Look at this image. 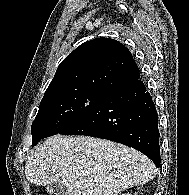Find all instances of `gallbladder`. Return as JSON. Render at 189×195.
I'll return each mask as SVG.
<instances>
[{
  "label": "gallbladder",
  "instance_id": "obj_1",
  "mask_svg": "<svg viewBox=\"0 0 189 195\" xmlns=\"http://www.w3.org/2000/svg\"><path fill=\"white\" fill-rule=\"evenodd\" d=\"M46 189L50 195H66L67 193V187L64 184L58 182L47 185Z\"/></svg>",
  "mask_w": 189,
  "mask_h": 195
}]
</instances>
